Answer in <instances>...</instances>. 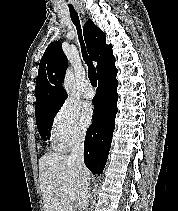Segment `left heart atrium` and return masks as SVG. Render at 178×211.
I'll return each instance as SVG.
<instances>
[{"instance_id": "left-heart-atrium-1", "label": "left heart atrium", "mask_w": 178, "mask_h": 211, "mask_svg": "<svg viewBox=\"0 0 178 211\" xmlns=\"http://www.w3.org/2000/svg\"><path fill=\"white\" fill-rule=\"evenodd\" d=\"M81 116L85 124H89L94 116V108L91 103H84L81 108Z\"/></svg>"}]
</instances>
